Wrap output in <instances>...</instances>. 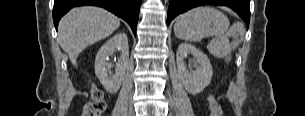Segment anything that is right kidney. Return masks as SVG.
Returning a JSON list of instances; mask_svg holds the SVG:
<instances>
[{"mask_svg": "<svg viewBox=\"0 0 305 116\" xmlns=\"http://www.w3.org/2000/svg\"><path fill=\"white\" fill-rule=\"evenodd\" d=\"M116 50H119L121 55L116 63L115 75L109 77L107 71L111 68V64L108 63V59ZM128 62L129 46L125 33H117L98 51L95 59V74L109 93L114 94L119 90L128 67Z\"/></svg>", "mask_w": 305, "mask_h": 116, "instance_id": "ca27d5eb", "label": "right kidney"}]
</instances>
